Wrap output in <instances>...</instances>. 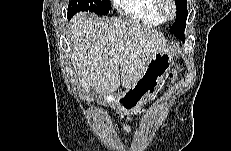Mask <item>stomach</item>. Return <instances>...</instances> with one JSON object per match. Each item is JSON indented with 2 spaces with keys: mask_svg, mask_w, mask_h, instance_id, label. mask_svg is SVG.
I'll use <instances>...</instances> for the list:
<instances>
[{
  "mask_svg": "<svg viewBox=\"0 0 231 151\" xmlns=\"http://www.w3.org/2000/svg\"><path fill=\"white\" fill-rule=\"evenodd\" d=\"M173 63L171 54L162 52L155 54L133 86L108 98L110 104L122 113L138 111L157 92Z\"/></svg>",
  "mask_w": 231,
  "mask_h": 151,
  "instance_id": "obj_1",
  "label": "stomach"
}]
</instances>
